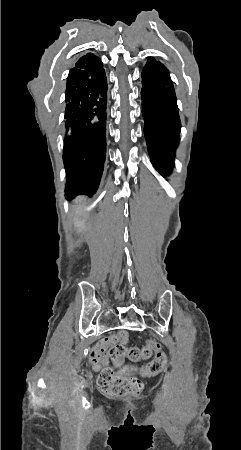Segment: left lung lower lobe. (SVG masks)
Masks as SVG:
<instances>
[{
	"label": "left lung lower lobe",
	"instance_id": "0a47b994",
	"mask_svg": "<svg viewBox=\"0 0 241 450\" xmlns=\"http://www.w3.org/2000/svg\"><path fill=\"white\" fill-rule=\"evenodd\" d=\"M141 98L148 153L165 176L173 167L181 123L169 71L155 59H149L142 71Z\"/></svg>",
	"mask_w": 241,
	"mask_h": 450
}]
</instances>
